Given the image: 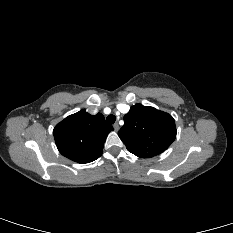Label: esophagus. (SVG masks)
<instances>
[{
  "label": "esophagus",
  "mask_w": 233,
  "mask_h": 233,
  "mask_svg": "<svg viewBox=\"0 0 233 233\" xmlns=\"http://www.w3.org/2000/svg\"><path fill=\"white\" fill-rule=\"evenodd\" d=\"M113 128H114L115 131H118V130H119V124H118V123H115V124L113 125Z\"/></svg>",
  "instance_id": "esophagus-1"
}]
</instances>
